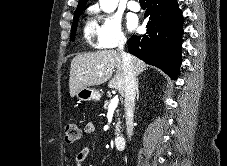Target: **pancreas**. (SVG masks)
Listing matches in <instances>:
<instances>
[{
    "instance_id": "1",
    "label": "pancreas",
    "mask_w": 227,
    "mask_h": 166,
    "mask_svg": "<svg viewBox=\"0 0 227 166\" xmlns=\"http://www.w3.org/2000/svg\"><path fill=\"white\" fill-rule=\"evenodd\" d=\"M110 100H106L105 103H104V109H108L109 108V104H110ZM116 116L118 117L119 116V110H116ZM120 125H121V122L120 120L118 119L117 121V124H116V129H115V134L118 135L119 131H120Z\"/></svg>"
}]
</instances>
